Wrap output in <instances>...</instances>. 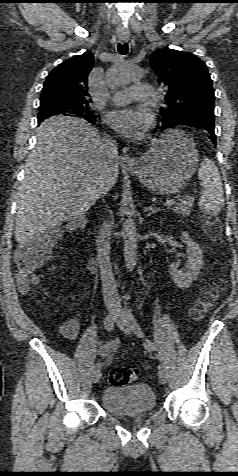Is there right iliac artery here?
Listing matches in <instances>:
<instances>
[{
  "mask_svg": "<svg viewBox=\"0 0 238 476\" xmlns=\"http://www.w3.org/2000/svg\"><path fill=\"white\" fill-rule=\"evenodd\" d=\"M116 316L115 314H110L108 315L106 318H105V321H104V326H105V329L107 330L108 333H111L112 332V328L114 326V320H115ZM102 366V363H97L93 369L94 370H97V369H100Z\"/></svg>",
  "mask_w": 238,
  "mask_h": 476,
  "instance_id": "82829eb1",
  "label": "right iliac artery"
}]
</instances>
